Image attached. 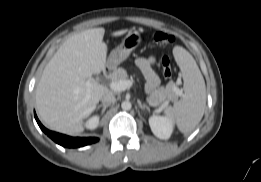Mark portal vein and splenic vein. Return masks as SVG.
I'll return each mask as SVG.
<instances>
[{
	"label": "portal vein and splenic vein",
	"mask_w": 261,
	"mask_h": 182,
	"mask_svg": "<svg viewBox=\"0 0 261 182\" xmlns=\"http://www.w3.org/2000/svg\"><path fill=\"white\" fill-rule=\"evenodd\" d=\"M132 85H133V81L131 80H119V81H112L110 83V88L113 91L121 92L126 90L127 88H130ZM176 92L178 95H182V92L179 89H177Z\"/></svg>",
	"instance_id": "portal-vein-and-splenic-vein-1"
}]
</instances>
